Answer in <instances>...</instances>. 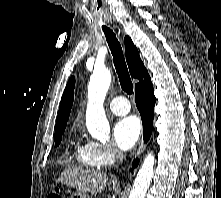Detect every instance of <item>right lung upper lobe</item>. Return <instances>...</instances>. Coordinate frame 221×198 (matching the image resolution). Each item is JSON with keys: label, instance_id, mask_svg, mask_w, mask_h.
Wrapping results in <instances>:
<instances>
[{"label": "right lung upper lobe", "instance_id": "1", "mask_svg": "<svg viewBox=\"0 0 221 198\" xmlns=\"http://www.w3.org/2000/svg\"><path fill=\"white\" fill-rule=\"evenodd\" d=\"M125 43V55L127 64L130 70V74L132 77L137 78L139 83L135 85V89L145 83L150 76L148 75V71L144 67L138 50L133 44L132 40L126 36L124 39ZM74 87H75V78L72 76L67 83V86L64 90L62 101L59 107V112L56 120L55 132L61 129H64L67 125V120L69 118V114L71 111V107L74 99Z\"/></svg>", "mask_w": 221, "mask_h": 198}]
</instances>
